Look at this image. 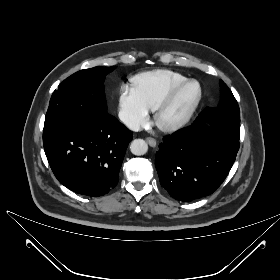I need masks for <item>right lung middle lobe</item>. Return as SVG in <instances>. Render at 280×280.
<instances>
[{
	"mask_svg": "<svg viewBox=\"0 0 280 280\" xmlns=\"http://www.w3.org/2000/svg\"><path fill=\"white\" fill-rule=\"evenodd\" d=\"M115 68L94 67L65 79L52 94L45 124L66 115L105 117L107 103L103 83L105 76Z\"/></svg>",
	"mask_w": 280,
	"mask_h": 280,
	"instance_id": "obj_1",
	"label": "right lung middle lobe"
}]
</instances>
